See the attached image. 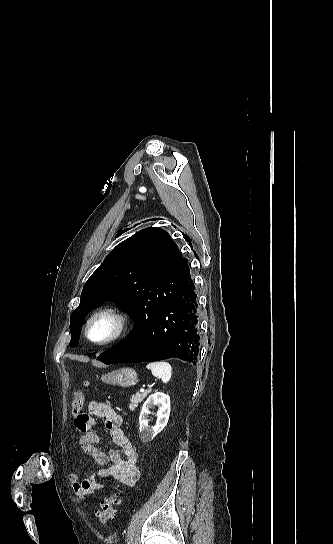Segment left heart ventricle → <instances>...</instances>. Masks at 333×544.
Returning a JSON list of instances; mask_svg holds the SVG:
<instances>
[{
    "label": "left heart ventricle",
    "mask_w": 333,
    "mask_h": 544,
    "mask_svg": "<svg viewBox=\"0 0 333 544\" xmlns=\"http://www.w3.org/2000/svg\"><path fill=\"white\" fill-rule=\"evenodd\" d=\"M114 329V323L109 317L98 318L90 328V337L94 340L107 338Z\"/></svg>",
    "instance_id": "obj_1"
}]
</instances>
